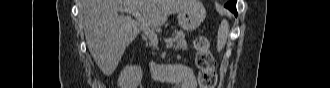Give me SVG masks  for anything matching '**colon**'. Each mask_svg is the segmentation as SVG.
<instances>
[{"mask_svg": "<svg viewBox=\"0 0 330 88\" xmlns=\"http://www.w3.org/2000/svg\"><path fill=\"white\" fill-rule=\"evenodd\" d=\"M210 48V41L205 36H198L193 41L196 64L199 69L198 81L200 88H215L217 83L215 60Z\"/></svg>", "mask_w": 330, "mask_h": 88, "instance_id": "5ec220e1", "label": "colon"}]
</instances>
